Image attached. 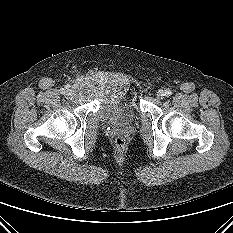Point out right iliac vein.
Returning <instances> with one entry per match:
<instances>
[{
    "instance_id": "1",
    "label": "right iliac vein",
    "mask_w": 233,
    "mask_h": 233,
    "mask_svg": "<svg viewBox=\"0 0 233 233\" xmlns=\"http://www.w3.org/2000/svg\"><path fill=\"white\" fill-rule=\"evenodd\" d=\"M66 95H67L68 97L72 96V95H73V90H72V89L67 90V91H66Z\"/></svg>"
}]
</instances>
